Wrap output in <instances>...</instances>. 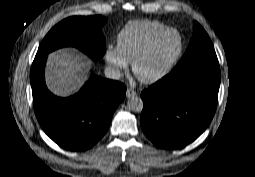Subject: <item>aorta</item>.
I'll return each instance as SVG.
<instances>
[{"mask_svg":"<svg viewBox=\"0 0 255 177\" xmlns=\"http://www.w3.org/2000/svg\"><path fill=\"white\" fill-rule=\"evenodd\" d=\"M127 107L132 112L140 113L143 110V101L140 97H131L127 101Z\"/></svg>","mask_w":255,"mask_h":177,"instance_id":"obj_1","label":"aorta"}]
</instances>
